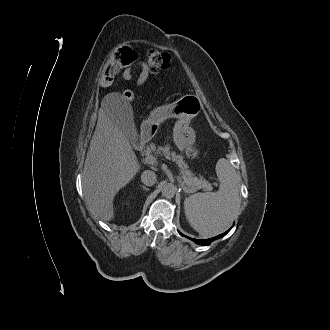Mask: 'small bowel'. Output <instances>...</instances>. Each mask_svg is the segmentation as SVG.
<instances>
[{"mask_svg": "<svg viewBox=\"0 0 330 330\" xmlns=\"http://www.w3.org/2000/svg\"><path fill=\"white\" fill-rule=\"evenodd\" d=\"M136 69L139 70L136 83L138 86H143L149 78L150 70L148 68V65L138 56L136 57V60L133 65L125 68L122 71V78L125 80H131L135 76Z\"/></svg>", "mask_w": 330, "mask_h": 330, "instance_id": "small-bowel-1", "label": "small bowel"}]
</instances>
